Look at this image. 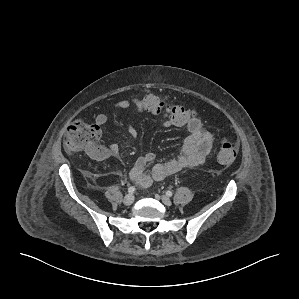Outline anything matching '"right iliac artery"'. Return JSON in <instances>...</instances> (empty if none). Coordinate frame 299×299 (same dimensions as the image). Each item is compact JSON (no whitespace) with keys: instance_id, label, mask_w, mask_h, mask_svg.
I'll return each mask as SVG.
<instances>
[{"instance_id":"82829eb1","label":"right iliac artery","mask_w":299,"mask_h":299,"mask_svg":"<svg viewBox=\"0 0 299 299\" xmlns=\"http://www.w3.org/2000/svg\"><path fill=\"white\" fill-rule=\"evenodd\" d=\"M128 192H129L130 194L134 193V192H135V187H134V186L129 187V188H128Z\"/></svg>"}]
</instances>
